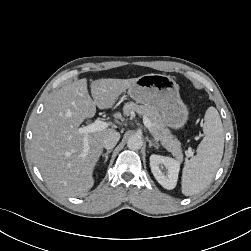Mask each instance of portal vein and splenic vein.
Returning a JSON list of instances; mask_svg holds the SVG:
<instances>
[{
  "label": "portal vein and splenic vein",
  "mask_w": 251,
  "mask_h": 251,
  "mask_svg": "<svg viewBox=\"0 0 251 251\" xmlns=\"http://www.w3.org/2000/svg\"><path fill=\"white\" fill-rule=\"evenodd\" d=\"M143 123H144L145 127L151 131L152 125H151L150 120L146 116L143 117ZM107 127H108L107 122L101 121L100 119H96L92 124H89L87 126H83V127H80L77 129L78 133L85 135L83 138L84 152H87L89 149L87 135L89 133L105 130Z\"/></svg>",
  "instance_id": "portal-vein-and-splenic-vein-1"
}]
</instances>
